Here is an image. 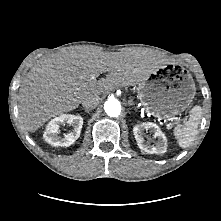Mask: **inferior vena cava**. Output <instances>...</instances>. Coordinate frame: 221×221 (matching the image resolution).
<instances>
[{
  "instance_id": "1",
  "label": "inferior vena cava",
  "mask_w": 221,
  "mask_h": 221,
  "mask_svg": "<svg viewBox=\"0 0 221 221\" xmlns=\"http://www.w3.org/2000/svg\"><path fill=\"white\" fill-rule=\"evenodd\" d=\"M100 100V97L95 95H89L82 101V106L87 110H92L96 108Z\"/></svg>"
}]
</instances>
